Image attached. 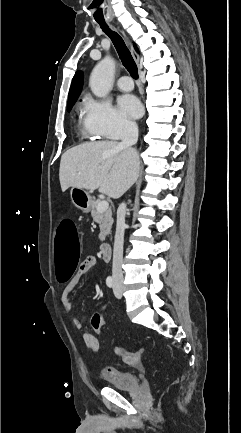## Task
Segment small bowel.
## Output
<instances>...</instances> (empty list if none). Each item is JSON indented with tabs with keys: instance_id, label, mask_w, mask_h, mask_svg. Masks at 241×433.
Wrapping results in <instances>:
<instances>
[{
	"instance_id": "c3829d8e",
	"label": "small bowel",
	"mask_w": 241,
	"mask_h": 433,
	"mask_svg": "<svg viewBox=\"0 0 241 433\" xmlns=\"http://www.w3.org/2000/svg\"><path fill=\"white\" fill-rule=\"evenodd\" d=\"M95 265H96V259L93 256L87 257L79 265L78 270L76 271L74 276L70 279V281L64 287L62 294H61V303L67 312H71L72 308H73V306H72L73 293L75 292L77 287L81 284V282L83 281V279L85 278V276L87 275L89 270ZM100 307L104 308V304L102 303ZM99 315L102 318V321H101V327H102L105 324V319L101 314H99ZM72 322H73V325L75 326V328H77V329L83 328V323L79 318H73ZM82 337H83V340H84L86 346L90 350H92V351H98L99 350V347H100L99 341L94 334L86 332L83 334ZM92 342L94 343L93 345L91 344ZM109 370L111 373H114L116 371L114 369H109Z\"/></svg>"
}]
</instances>
